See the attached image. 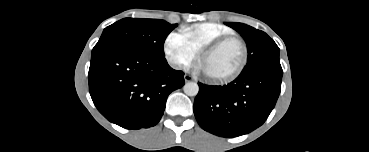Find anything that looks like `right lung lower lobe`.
<instances>
[{"label":"right lung lower lobe","instance_id":"right-lung-lower-lobe-1","mask_svg":"<svg viewBox=\"0 0 369 152\" xmlns=\"http://www.w3.org/2000/svg\"><path fill=\"white\" fill-rule=\"evenodd\" d=\"M89 92L99 112L127 129L156 125L168 95L184 85V73L166 59L131 49L91 57Z\"/></svg>","mask_w":369,"mask_h":152}]
</instances>
